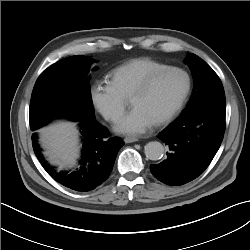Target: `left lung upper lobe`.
Returning a JSON list of instances; mask_svg holds the SVG:
<instances>
[{
	"instance_id": "5c2ea615",
	"label": "left lung upper lobe",
	"mask_w": 250,
	"mask_h": 250,
	"mask_svg": "<svg viewBox=\"0 0 250 250\" xmlns=\"http://www.w3.org/2000/svg\"><path fill=\"white\" fill-rule=\"evenodd\" d=\"M186 63L193 74L194 88L190 102L180 116L191 112L206 102L225 96L221 80L205 61L197 55L189 53Z\"/></svg>"
}]
</instances>
